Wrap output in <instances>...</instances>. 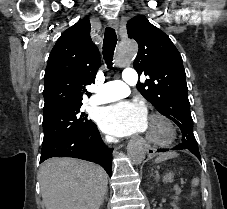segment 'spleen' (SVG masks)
<instances>
[{
	"label": "spleen",
	"instance_id": "spleen-1",
	"mask_svg": "<svg viewBox=\"0 0 227 209\" xmlns=\"http://www.w3.org/2000/svg\"><path fill=\"white\" fill-rule=\"evenodd\" d=\"M175 157H177V153H162V155H159V157H157V159H155V163H161V161H168V159H175ZM191 185L192 187H198L199 185V179H192L191 181ZM192 197H195V195H197V191H192L191 193Z\"/></svg>",
	"mask_w": 227,
	"mask_h": 209
}]
</instances>
